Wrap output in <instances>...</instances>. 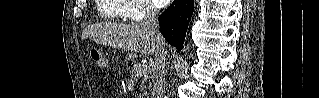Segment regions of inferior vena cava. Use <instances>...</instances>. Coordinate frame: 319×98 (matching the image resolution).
<instances>
[{"label":"inferior vena cava","instance_id":"1","mask_svg":"<svg viewBox=\"0 0 319 98\" xmlns=\"http://www.w3.org/2000/svg\"><path fill=\"white\" fill-rule=\"evenodd\" d=\"M142 24L147 28L156 43L155 67L153 69V88L151 98H163L166 87L167 60L165 41L159 31L157 10L152 6L146 7V13Z\"/></svg>","mask_w":319,"mask_h":98}]
</instances>
